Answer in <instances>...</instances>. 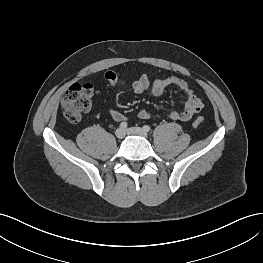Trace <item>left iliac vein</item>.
I'll return each instance as SVG.
<instances>
[{
	"label": "left iliac vein",
	"mask_w": 263,
	"mask_h": 263,
	"mask_svg": "<svg viewBox=\"0 0 263 263\" xmlns=\"http://www.w3.org/2000/svg\"><path fill=\"white\" fill-rule=\"evenodd\" d=\"M129 133L134 134V135H138V136H142V137H147L148 134L146 131H144L142 128L140 127H131L129 128Z\"/></svg>",
	"instance_id": "4c4485c4"
}]
</instances>
